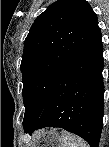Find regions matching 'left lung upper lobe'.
<instances>
[{
  "label": "left lung upper lobe",
  "mask_w": 109,
  "mask_h": 147,
  "mask_svg": "<svg viewBox=\"0 0 109 147\" xmlns=\"http://www.w3.org/2000/svg\"><path fill=\"white\" fill-rule=\"evenodd\" d=\"M97 29V16L85 0H58L36 18L20 66L24 128L38 120L62 68Z\"/></svg>",
  "instance_id": "obj_1"
}]
</instances>
